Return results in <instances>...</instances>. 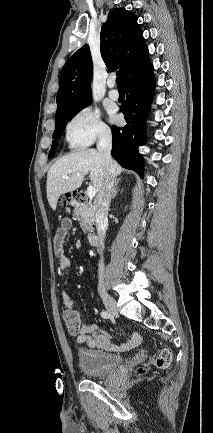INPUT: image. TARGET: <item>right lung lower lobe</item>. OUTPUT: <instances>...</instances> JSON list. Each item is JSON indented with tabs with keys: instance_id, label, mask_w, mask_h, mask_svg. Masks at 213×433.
I'll return each instance as SVG.
<instances>
[{
	"instance_id": "obj_1",
	"label": "right lung lower lobe",
	"mask_w": 213,
	"mask_h": 433,
	"mask_svg": "<svg viewBox=\"0 0 213 433\" xmlns=\"http://www.w3.org/2000/svg\"><path fill=\"white\" fill-rule=\"evenodd\" d=\"M126 100L121 104L126 126H112L113 158L124 168L134 170L143 177V158L138 147L146 141L145 120L155 89L151 62L146 61L124 83Z\"/></svg>"
}]
</instances>
